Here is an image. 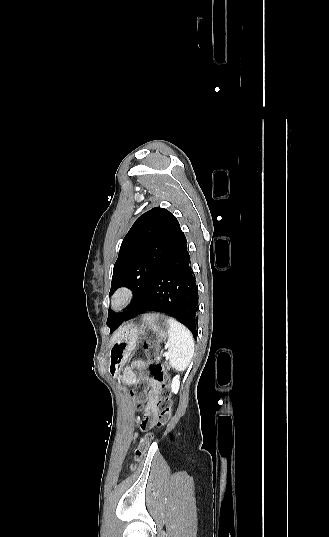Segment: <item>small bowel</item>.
I'll return each instance as SVG.
<instances>
[{"instance_id": "obj_1", "label": "small bowel", "mask_w": 329, "mask_h": 537, "mask_svg": "<svg viewBox=\"0 0 329 537\" xmlns=\"http://www.w3.org/2000/svg\"><path fill=\"white\" fill-rule=\"evenodd\" d=\"M147 367L145 362L135 361L131 366L127 367L123 374V381L127 384L134 383L140 376L143 369ZM150 385L149 399L145 408V418L153 423L157 417V393L160 387V382L155 378H149ZM135 440V437L133 438Z\"/></svg>"}]
</instances>
